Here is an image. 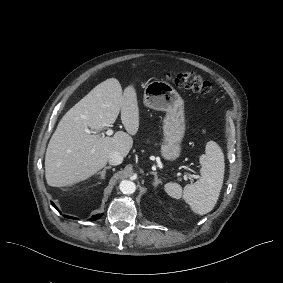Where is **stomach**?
<instances>
[{
    "mask_svg": "<svg viewBox=\"0 0 283 283\" xmlns=\"http://www.w3.org/2000/svg\"><path fill=\"white\" fill-rule=\"evenodd\" d=\"M144 106L166 111L168 114L164 120V134L166 145L163 147V155L168 159H174L179 155L178 143L184 133L183 101L176 90L163 81H153L144 89Z\"/></svg>",
    "mask_w": 283,
    "mask_h": 283,
    "instance_id": "obj_1",
    "label": "stomach"
}]
</instances>
